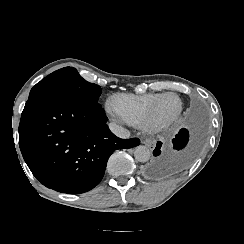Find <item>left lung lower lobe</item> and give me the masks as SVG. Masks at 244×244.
I'll use <instances>...</instances> for the list:
<instances>
[{
	"instance_id": "0a47b994",
	"label": "left lung lower lobe",
	"mask_w": 244,
	"mask_h": 244,
	"mask_svg": "<svg viewBox=\"0 0 244 244\" xmlns=\"http://www.w3.org/2000/svg\"><path fill=\"white\" fill-rule=\"evenodd\" d=\"M188 139H189L188 131L186 129H181L179 131V133L176 135V137L173 139V145H174L173 148L176 150L183 149L186 146ZM161 145H162L161 143H159V142L157 143V146H156L155 150L153 151L154 156L160 155ZM159 168H161L160 164L157 162H154L150 165L149 170H150V172H157L159 170Z\"/></svg>"
}]
</instances>
